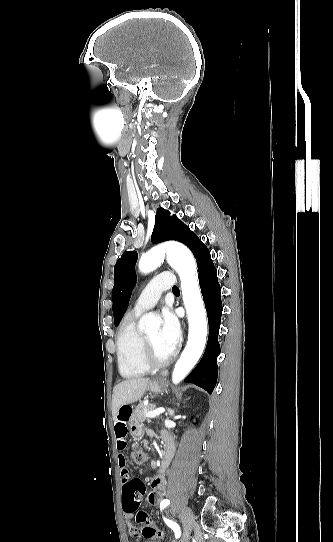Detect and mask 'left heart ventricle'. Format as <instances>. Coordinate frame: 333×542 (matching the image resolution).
<instances>
[{
    "instance_id": "b2bd125f",
    "label": "left heart ventricle",
    "mask_w": 333,
    "mask_h": 542,
    "mask_svg": "<svg viewBox=\"0 0 333 542\" xmlns=\"http://www.w3.org/2000/svg\"><path fill=\"white\" fill-rule=\"evenodd\" d=\"M150 342L154 355L158 359H166L168 358L172 353L169 350V348L162 342V338L160 335L159 330L152 331L145 335Z\"/></svg>"
}]
</instances>
